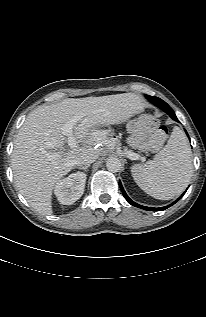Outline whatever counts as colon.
<instances>
[{"instance_id":"1","label":"colon","mask_w":206,"mask_h":317,"mask_svg":"<svg viewBox=\"0 0 206 317\" xmlns=\"http://www.w3.org/2000/svg\"><path fill=\"white\" fill-rule=\"evenodd\" d=\"M139 123L151 131V136L149 139V145L153 149H157L164 142L168 134V128L165 125L160 124V122L150 115H143L140 117Z\"/></svg>"}]
</instances>
